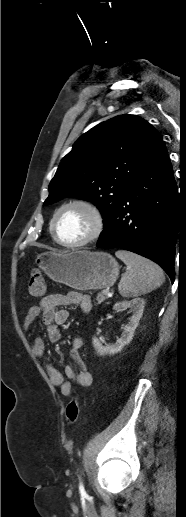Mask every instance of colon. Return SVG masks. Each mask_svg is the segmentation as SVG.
<instances>
[{
  "mask_svg": "<svg viewBox=\"0 0 186 517\" xmlns=\"http://www.w3.org/2000/svg\"><path fill=\"white\" fill-rule=\"evenodd\" d=\"M28 292L34 297H41L45 292V280L42 273L39 270H33L31 272L28 282ZM80 412L79 400L77 397H73L68 403L66 408V420L69 424H73L77 421Z\"/></svg>",
  "mask_w": 186,
  "mask_h": 517,
  "instance_id": "obj_1",
  "label": "colon"
}]
</instances>
